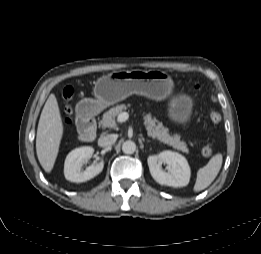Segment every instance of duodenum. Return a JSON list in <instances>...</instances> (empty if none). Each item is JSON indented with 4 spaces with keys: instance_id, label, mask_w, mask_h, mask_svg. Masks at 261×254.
Instances as JSON below:
<instances>
[{
    "instance_id": "duodenum-1",
    "label": "duodenum",
    "mask_w": 261,
    "mask_h": 254,
    "mask_svg": "<svg viewBox=\"0 0 261 254\" xmlns=\"http://www.w3.org/2000/svg\"><path fill=\"white\" fill-rule=\"evenodd\" d=\"M96 114V107L88 103H81L78 108L76 124L80 139L84 142H91L96 138Z\"/></svg>"
}]
</instances>
